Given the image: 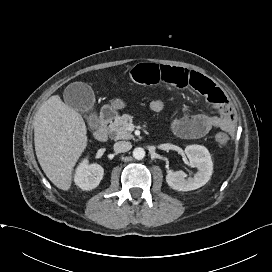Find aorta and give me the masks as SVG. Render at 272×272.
Listing matches in <instances>:
<instances>
[{
  "label": "aorta",
  "instance_id": "aorta-1",
  "mask_svg": "<svg viewBox=\"0 0 272 272\" xmlns=\"http://www.w3.org/2000/svg\"><path fill=\"white\" fill-rule=\"evenodd\" d=\"M133 157L136 159V160H141L145 157V151L143 148L141 147H137L133 150Z\"/></svg>",
  "mask_w": 272,
  "mask_h": 272
}]
</instances>
